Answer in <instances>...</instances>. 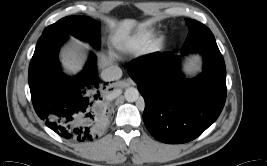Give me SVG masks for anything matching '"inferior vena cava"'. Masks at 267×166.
Returning a JSON list of instances; mask_svg holds the SVG:
<instances>
[{"mask_svg": "<svg viewBox=\"0 0 267 166\" xmlns=\"http://www.w3.org/2000/svg\"><path fill=\"white\" fill-rule=\"evenodd\" d=\"M122 76V70L118 66H110L101 72V78L104 81L110 82L120 79Z\"/></svg>", "mask_w": 267, "mask_h": 166, "instance_id": "inferior-vena-cava-1", "label": "inferior vena cava"}]
</instances>
